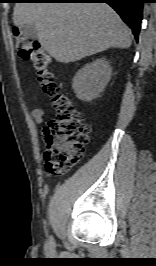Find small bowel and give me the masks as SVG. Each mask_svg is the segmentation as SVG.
Here are the masks:
<instances>
[{
  "instance_id": "c3829d8e",
  "label": "small bowel",
  "mask_w": 156,
  "mask_h": 266,
  "mask_svg": "<svg viewBox=\"0 0 156 266\" xmlns=\"http://www.w3.org/2000/svg\"><path fill=\"white\" fill-rule=\"evenodd\" d=\"M32 116L37 124H41L44 120V111L40 108H35L32 110Z\"/></svg>"
}]
</instances>
